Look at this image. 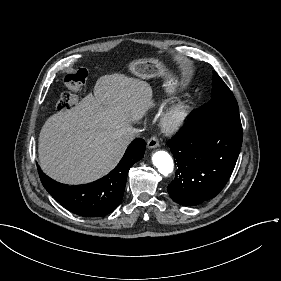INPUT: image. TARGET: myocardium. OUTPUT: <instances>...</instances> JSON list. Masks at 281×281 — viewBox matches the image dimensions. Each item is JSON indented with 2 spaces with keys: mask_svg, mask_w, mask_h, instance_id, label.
<instances>
[{
  "mask_svg": "<svg viewBox=\"0 0 281 281\" xmlns=\"http://www.w3.org/2000/svg\"><path fill=\"white\" fill-rule=\"evenodd\" d=\"M190 114V107L185 101L172 105L162 116L160 126L166 135H173L186 123Z\"/></svg>",
  "mask_w": 281,
  "mask_h": 281,
  "instance_id": "obj_1",
  "label": "myocardium"
}]
</instances>
